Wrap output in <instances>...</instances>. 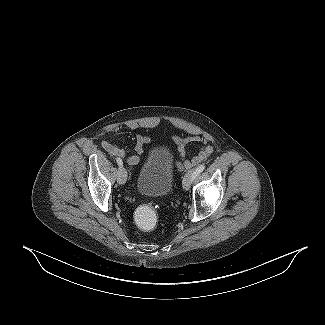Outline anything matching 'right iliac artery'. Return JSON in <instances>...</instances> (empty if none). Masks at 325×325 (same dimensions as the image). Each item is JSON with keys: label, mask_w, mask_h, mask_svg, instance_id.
Returning <instances> with one entry per match:
<instances>
[{"label": "right iliac artery", "mask_w": 325, "mask_h": 325, "mask_svg": "<svg viewBox=\"0 0 325 325\" xmlns=\"http://www.w3.org/2000/svg\"><path fill=\"white\" fill-rule=\"evenodd\" d=\"M116 161H117V163H118L119 166H122L123 162H122V160L120 158L117 157L116 158Z\"/></svg>", "instance_id": "1"}]
</instances>
